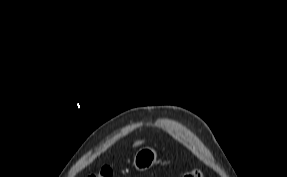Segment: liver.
Instances as JSON below:
<instances>
[{
    "instance_id": "obj_1",
    "label": "liver",
    "mask_w": 287,
    "mask_h": 177,
    "mask_svg": "<svg viewBox=\"0 0 287 177\" xmlns=\"http://www.w3.org/2000/svg\"><path fill=\"white\" fill-rule=\"evenodd\" d=\"M140 144H142V141H137V142H135L134 146H138Z\"/></svg>"
}]
</instances>
